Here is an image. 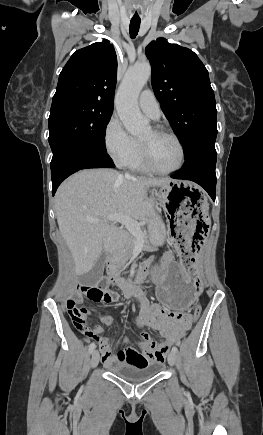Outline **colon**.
Instances as JSON below:
<instances>
[{
    "label": "colon",
    "mask_w": 263,
    "mask_h": 435,
    "mask_svg": "<svg viewBox=\"0 0 263 435\" xmlns=\"http://www.w3.org/2000/svg\"><path fill=\"white\" fill-rule=\"evenodd\" d=\"M107 280H103L100 284L96 285H80V289L83 294L90 300L95 302L111 303L114 300V295L111 292L105 291V285ZM67 310L69 316L75 326V328L84 334L88 338H94L99 343H97V348H113V343H100L101 337L99 336V331L97 328H93L89 325L87 321V310L86 308L80 306L74 299H69L67 301ZM202 308L199 304H195L191 316L188 318V322L191 324L197 320L201 314ZM147 330H141V336H137V339H147ZM122 343H129V341L134 340L133 334H127L123 336ZM151 339V336H148ZM174 342V341H173ZM138 340L135 343H129V348H137Z\"/></svg>",
    "instance_id": "1"
}]
</instances>
